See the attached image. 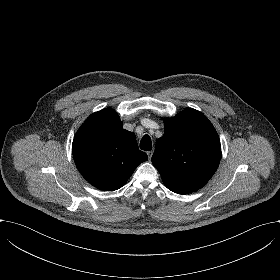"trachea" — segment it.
Wrapping results in <instances>:
<instances>
[{"mask_svg":"<svg viewBox=\"0 0 280 280\" xmlns=\"http://www.w3.org/2000/svg\"><path fill=\"white\" fill-rule=\"evenodd\" d=\"M140 148L145 151H150L152 149V142L149 135H144L140 142Z\"/></svg>","mask_w":280,"mask_h":280,"instance_id":"obj_1","label":"trachea"}]
</instances>
